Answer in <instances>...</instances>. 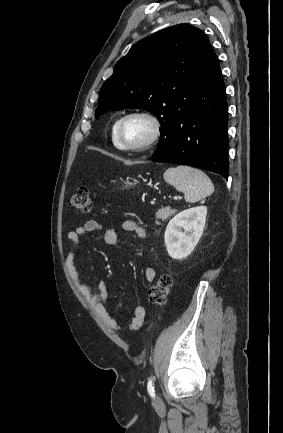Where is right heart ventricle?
Returning a JSON list of instances; mask_svg holds the SVG:
<instances>
[{
	"label": "right heart ventricle",
	"mask_w": 283,
	"mask_h": 433,
	"mask_svg": "<svg viewBox=\"0 0 283 433\" xmlns=\"http://www.w3.org/2000/svg\"><path fill=\"white\" fill-rule=\"evenodd\" d=\"M119 119H120V117H118V118H116V119L114 120V122H113V124H112V128H111L112 141H113V144H114L117 148H119V147H118L117 144H116L115 137H114V132H115V128H116V126H117V124H118Z\"/></svg>",
	"instance_id": "1"
}]
</instances>
